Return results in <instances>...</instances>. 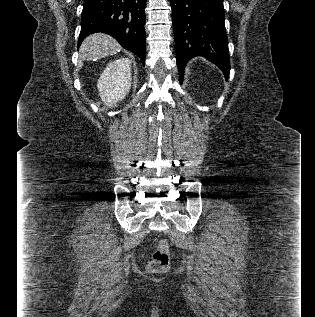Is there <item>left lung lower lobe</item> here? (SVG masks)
Listing matches in <instances>:
<instances>
[{"label": "left lung lower lobe", "instance_id": "1", "mask_svg": "<svg viewBox=\"0 0 315 317\" xmlns=\"http://www.w3.org/2000/svg\"><path fill=\"white\" fill-rule=\"evenodd\" d=\"M180 82L195 56L216 64L229 77L230 60L223 0H170Z\"/></svg>", "mask_w": 315, "mask_h": 317}]
</instances>
